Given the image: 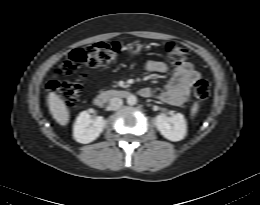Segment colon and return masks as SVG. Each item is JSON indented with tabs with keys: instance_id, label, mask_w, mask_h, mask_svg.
Listing matches in <instances>:
<instances>
[{
	"instance_id": "obj_1",
	"label": "colon",
	"mask_w": 260,
	"mask_h": 205,
	"mask_svg": "<svg viewBox=\"0 0 260 205\" xmlns=\"http://www.w3.org/2000/svg\"><path fill=\"white\" fill-rule=\"evenodd\" d=\"M164 52L173 64H181L188 56V51L182 45L168 42ZM120 53L119 44L116 42H98L73 50L68 59L58 69L59 75L71 76L79 73L82 78H87L85 67L96 68L114 62ZM48 89L59 94L67 103L75 105L82 93L80 80L55 78L48 84ZM194 95L205 100L210 94V85L204 79H199L193 86Z\"/></svg>"
}]
</instances>
